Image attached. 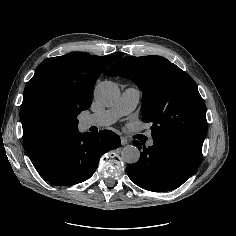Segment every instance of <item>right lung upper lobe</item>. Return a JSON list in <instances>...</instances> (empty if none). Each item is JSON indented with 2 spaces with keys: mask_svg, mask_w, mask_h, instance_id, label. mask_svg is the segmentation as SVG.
<instances>
[{
  "mask_svg": "<svg viewBox=\"0 0 236 236\" xmlns=\"http://www.w3.org/2000/svg\"><path fill=\"white\" fill-rule=\"evenodd\" d=\"M121 56L113 54L100 57L87 53H68L64 56L45 59L26 84L23 101L33 89L44 86L63 92L71 97L80 109L87 110L91 105L96 79L109 64ZM56 140L35 141L27 135L23 127V143L32 162Z\"/></svg>",
  "mask_w": 236,
  "mask_h": 236,
  "instance_id": "1",
  "label": "right lung upper lobe"
}]
</instances>
